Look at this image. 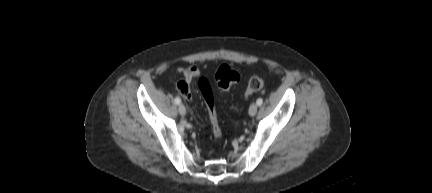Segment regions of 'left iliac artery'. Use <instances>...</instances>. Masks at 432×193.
Wrapping results in <instances>:
<instances>
[{"label": "left iliac artery", "mask_w": 432, "mask_h": 193, "mask_svg": "<svg viewBox=\"0 0 432 193\" xmlns=\"http://www.w3.org/2000/svg\"><path fill=\"white\" fill-rule=\"evenodd\" d=\"M256 103H257L258 106H261L262 103H263V99L262 98H258L257 101H256Z\"/></svg>", "instance_id": "44dca946"}]
</instances>
